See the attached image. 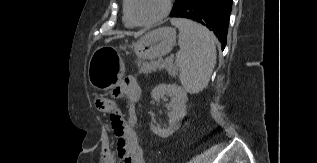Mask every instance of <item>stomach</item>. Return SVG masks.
Here are the masks:
<instances>
[{"label":"stomach","instance_id":"0dacf381","mask_svg":"<svg viewBox=\"0 0 317 163\" xmlns=\"http://www.w3.org/2000/svg\"><path fill=\"white\" fill-rule=\"evenodd\" d=\"M176 43V31L162 27L142 36L134 45V52L140 59H155L168 54ZM107 47H99L92 54L88 66L91 85L100 90H108L122 76L123 64L119 59L117 68L105 56ZM116 69H119L116 72Z\"/></svg>","mask_w":317,"mask_h":163}]
</instances>
